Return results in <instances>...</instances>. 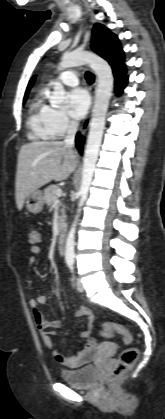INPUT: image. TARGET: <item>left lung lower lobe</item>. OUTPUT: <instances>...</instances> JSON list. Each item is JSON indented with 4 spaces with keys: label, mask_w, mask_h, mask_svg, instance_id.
<instances>
[{
    "label": "left lung lower lobe",
    "mask_w": 165,
    "mask_h": 419,
    "mask_svg": "<svg viewBox=\"0 0 165 419\" xmlns=\"http://www.w3.org/2000/svg\"><path fill=\"white\" fill-rule=\"evenodd\" d=\"M115 77L116 92L119 94L127 84L126 67L124 64V55L121 52L116 59L110 63Z\"/></svg>",
    "instance_id": "1"
}]
</instances>
